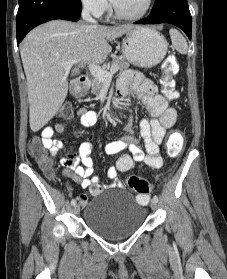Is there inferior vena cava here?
Listing matches in <instances>:
<instances>
[{
  "mask_svg": "<svg viewBox=\"0 0 227 279\" xmlns=\"http://www.w3.org/2000/svg\"><path fill=\"white\" fill-rule=\"evenodd\" d=\"M82 18L83 20H85L86 22H89L93 25L97 24V21L95 19L92 18V16L90 15V8L88 5H85L82 11Z\"/></svg>",
  "mask_w": 227,
  "mask_h": 279,
  "instance_id": "inferior-vena-cava-1",
  "label": "inferior vena cava"
}]
</instances>
